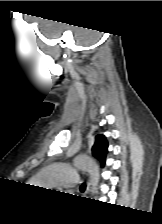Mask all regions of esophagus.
I'll use <instances>...</instances> for the list:
<instances>
[{
    "mask_svg": "<svg viewBox=\"0 0 162 224\" xmlns=\"http://www.w3.org/2000/svg\"><path fill=\"white\" fill-rule=\"evenodd\" d=\"M89 186H90V183L88 182L87 187H86V193H88V191H89Z\"/></svg>",
    "mask_w": 162,
    "mask_h": 224,
    "instance_id": "34e87169",
    "label": "esophagus"
}]
</instances>
